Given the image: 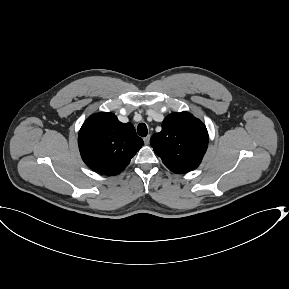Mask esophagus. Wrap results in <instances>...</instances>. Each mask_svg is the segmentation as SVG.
<instances>
[{
	"instance_id": "1",
	"label": "esophagus",
	"mask_w": 289,
	"mask_h": 289,
	"mask_svg": "<svg viewBox=\"0 0 289 289\" xmlns=\"http://www.w3.org/2000/svg\"><path fill=\"white\" fill-rule=\"evenodd\" d=\"M144 143L146 144V145H148L149 143H150V135H147L146 137H144Z\"/></svg>"
}]
</instances>
